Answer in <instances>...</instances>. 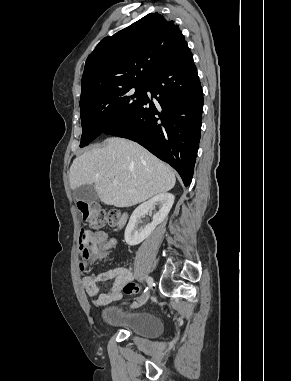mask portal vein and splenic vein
<instances>
[{
	"instance_id": "1",
	"label": "portal vein and splenic vein",
	"mask_w": 291,
	"mask_h": 381,
	"mask_svg": "<svg viewBox=\"0 0 291 381\" xmlns=\"http://www.w3.org/2000/svg\"><path fill=\"white\" fill-rule=\"evenodd\" d=\"M112 183H113V185H117V184H118V181L115 180V179H113V180H112Z\"/></svg>"
}]
</instances>
